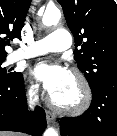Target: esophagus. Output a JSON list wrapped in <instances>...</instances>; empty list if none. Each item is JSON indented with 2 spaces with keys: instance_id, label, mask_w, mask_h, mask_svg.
Segmentation results:
<instances>
[{
  "instance_id": "1",
  "label": "esophagus",
  "mask_w": 117,
  "mask_h": 136,
  "mask_svg": "<svg viewBox=\"0 0 117 136\" xmlns=\"http://www.w3.org/2000/svg\"><path fill=\"white\" fill-rule=\"evenodd\" d=\"M46 118H47L48 123H53L55 118H56V116L51 111L46 110Z\"/></svg>"
}]
</instances>
